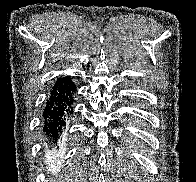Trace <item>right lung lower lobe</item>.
Masks as SVG:
<instances>
[{
    "label": "right lung lower lobe",
    "instance_id": "obj_1",
    "mask_svg": "<svg viewBox=\"0 0 196 182\" xmlns=\"http://www.w3.org/2000/svg\"><path fill=\"white\" fill-rule=\"evenodd\" d=\"M76 85L69 76L58 78L43 111L42 132L48 143L62 139L73 113Z\"/></svg>",
    "mask_w": 196,
    "mask_h": 182
}]
</instances>
